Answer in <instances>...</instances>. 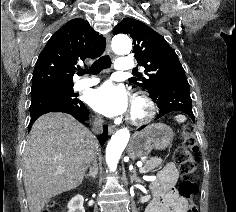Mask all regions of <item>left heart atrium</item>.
<instances>
[{
    "label": "left heart atrium",
    "instance_id": "1",
    "mask_svg": "<svg viewBox=\"0 0 236 212\" xmlns=\"http://www.w3.org/2000/svg\"><path fill=\"white\" fill-rule=\"evenodd\" d=\"M88 103L95 111L107 117L122 115L130 107L126 89L111 82H106L93 90L89 95Z\"/></svg>",
    "mask_w": 236,
    "mask_h": 212
}]
</instances>
